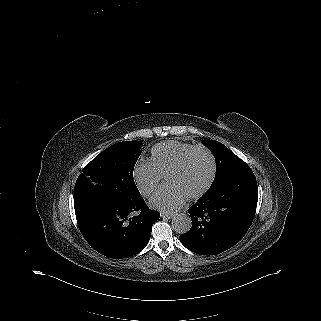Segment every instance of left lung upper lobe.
I'll list each match as a JSON object with an SVG mask.
<instances>
[{
  "label": "left lung upper lobe",
  "instance_id": "left-lung-upper-lobe-1",
  "mask_svg": "<svg viewBox=\"0 0 321 321\" xmlns=\"http://www.w3.org/2000/svg\"><path fill=\"white\" fill-rule=\"evenodd\" d=\"M203 143L212 151L216 159V175L210 189L218 186L233 174L251 170L242 159L222 143L215 140H204Z\"/></svg>",
  "mask_w": 321,
  "mask_h": 321
}]
</instances>
